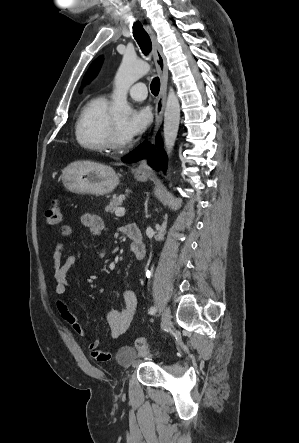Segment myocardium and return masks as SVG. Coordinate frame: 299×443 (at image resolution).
<instances>
[{
  "mask_svg": "<svg viewBox=\"0 0 299 443\" xmlns=\"http://www.w3.org/2000/svg\"><path fill=\"white\" fill-rule=\"evenodd\" d=\"M107 146L109 150L117 153L124 152L132 146V142L130 140H122L120 132L113 119L110 121Z\"/></svg>",
  "mask_w": 299,
  "mask_h": 443,
  "instance_id": "obj_1",
  "label": "myocardium"
}]
</instances>
